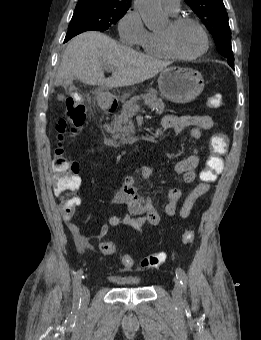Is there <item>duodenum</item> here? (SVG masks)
<instances>
[{
	"label": "duodenum",
	"instance_id": "410a0bca",
	"mask_svg": "<svg viewBox=\"0 0 261 340\" xmlns=\"http://www.w3.org/2000/svg\"><path fill=\"white\" fill-rule=\"evenodd\" d=\"M116 108H117L116 102H109L104 106L105 111L108 112V113L114 112L116 110ZM105 143L110 147H118L119 146L118 142L115 139H113L112 137H109V136H107L105 138Z\"/></svg>",
	"mask_w": 261,
	"mask_h": 340
}]
</instances>
